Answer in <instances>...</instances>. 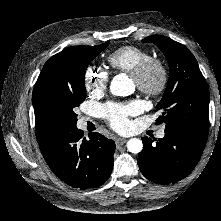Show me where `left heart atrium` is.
Here are the masks:
<instances>
[{"label": "left heart atrium", "instance_id": "39dd6f15", "mask_svg": "<svg viewBox=\"0 0 221 221\" xmlns=\"http://www.w3.org/2000/svg\"><path fill=\"white\" fill-rule=\"evenodd\" d=\"M140 109L141 104L132 101L126 104H107L100 108V112L108 117L116 130L123 131L128 126V116L136 114Z\"/></svg>", "mask_w": 221, "mask_h": 221}]
</instances>
